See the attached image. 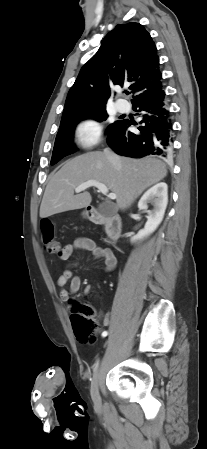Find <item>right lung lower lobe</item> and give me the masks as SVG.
I'll return each instance as SVG.
<instances>
[{
	"label": "right lung lower lobe",
	"mask_w": 207,
	"mask_h": 449,
	"mask_svg": "<svg viewBox=\"0 0 207 449\" xmlns=\"http://www.w3.org/2000/svg\"><path fill=\"white\" fill-rule=\"evenodd\" d=\"M133 108L140 112L142 121L139 132L127 130L128 120L119 125L107 137L108 145L115 153L123 156L141 158L147 155L168 157L171 152L172 123L167 109L166 95L159 92L141 97L132 102ZM138 108V110H137Z\"/></svg>",
	"instance_id": "obj_1"
}]
</instances>
